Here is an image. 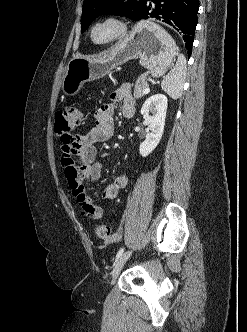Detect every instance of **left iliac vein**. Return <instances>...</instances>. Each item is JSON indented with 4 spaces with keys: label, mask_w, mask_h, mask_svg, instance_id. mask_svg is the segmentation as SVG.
I'll list each match as a JSON object with an SVG mask.
<instances>
[{
    "label": "left iliac vein",
    "mask_w": 247,
    "mask_h": 332,
    "mask_svg": "<svg viewBox=\"0 0 247 332\" xmlns=\"http://www.w3.org/2000/svg\"><path fill=\"white\" fill-rule=\"evenodd\" d=\"M132 251H126L125 253H123L119 259L117 260L114 269L112 271V280L115 282L118 275L120 274L124 264L126 263V261L128 260V258L131 256Z\"/></svg>",
    "instance_id": "obj_1"
}]
</instances>
